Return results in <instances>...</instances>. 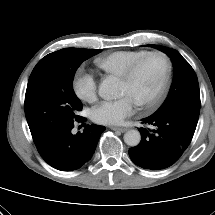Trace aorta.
Here are the masks:
<instances>
[{"label":"aorta","instance_id":"obj_1","mask_svg":"<svg viewBox=\"0 0 215 215\" xmlns=\"http://www.w3.org/2000/svg\"><path fill=\"white\" fill-rule=\"evenodd\" d=\"M99 96L105 100H112L118 96L119 84L115 77H106L99 85ZM141 141V135L138 130H129L124 134V142L131 146H137Z\"/></svg>","mask_w":215,"mask_h":215}]
</instances>
